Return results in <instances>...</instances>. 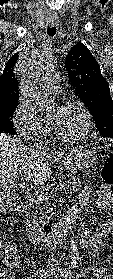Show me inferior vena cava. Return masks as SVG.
Returning <instances> with one entry per match:
<instances>
[{
	"label": "inferior vena cava",
	"mask_w": 113,
	"mask_h": 279,
	"mask_svg": "<svg viewBox=\"0 0 113 279\" xmlns=\"http://www.w3.org/2000/svg\"><path fill=\"white\" fill-rule=\"evenodd\" d=\"M33 147L37 148L39 150H43V147L42 146H38V144H35ZM58 266H59V263H58L57 258H55L54 254L51 253L48 256V259H47V268L55 269V268H58Z\"/></svg>",
	"instance_id": "inferior-vena-cava-1"
}]
</instances>
